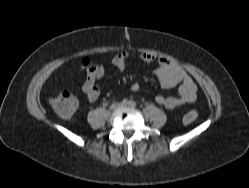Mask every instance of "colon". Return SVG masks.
I'll list each match as a JSON object with an SVG mask.
<instances>
[{
    "mask_svg": "<svg viewBox=\"0 0 249 188\" xmlns=\"http://www.w3.org/2000/svg\"><path fill=\"white\" fill-rule=\"evenodd\" d=\"M50 103L54 111L62 118L73 116L78 105L77 99L66 90L53 95L50 99ZM197 117L198 113L196 111H188L183 116V122L185 124H191L196 121Z\"/></svg>",
    "mask_w": 249,
    "mask_h": 188,
    "instance_id": "1",
    "label": "colon"
}]
</instances>
